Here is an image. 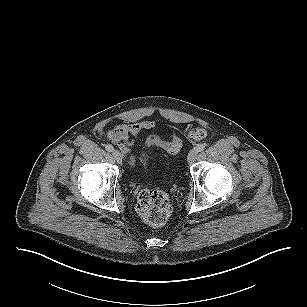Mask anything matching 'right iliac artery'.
<instances>
[{
  "label": "right iliac artery",
  "mask_w": 307,
  "mask_h": 307,
  "mask_svg": "<svg viewBox=\"0 0 307 307\" xmlns=\"http://www.w3.org/2000/svg\"><path fill=\"white\" fill-rule=\"evenodd\" d=\"M105 148L109 152H112L114 150V147L112 145H110V144L106 145Z\"/></svg>",
  "instance_id": "1"
}]
</instances>
